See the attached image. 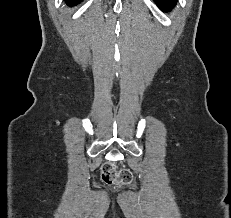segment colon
<instances>
[{
    "label": "colon",
    "mask_w": 231,
    "mask_h": 218,
    "mask_svg": "<svg viewBox=\"0 0 231 218\" xmlns=\"http://www.w3.org/2000/svg\"><path fill=\"white\" fill-rule=\"evenodd\" d=\"M101 178L106 184L126 185L132 181V173L129 169H118L113 162H105L101 167Z\"/></svg>",
    "instance_id": "colon-1"
}]
</instances>
